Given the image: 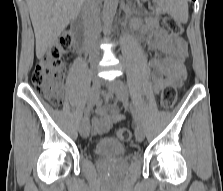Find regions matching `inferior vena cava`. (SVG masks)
Segmentation results:
<instances>
[{
	"mask_svg": "<svg viewBox=\"0 0 223 191\" xmlns=\"http://www.w3.org/2000/svg\"><path fill=\"white\" fill-rule=\"evenodd\" d=\"M85 22L87 29L88 48L90 57L97 59L100 55L96 41L100 35V17H99V1L98 0H84L83 4Z\"/></svg>",
	"mask_w": 223,
	"mask_h": 191,
	"instance_id": "1",
	"label": "inferior vena cava"
}]
</instances>
